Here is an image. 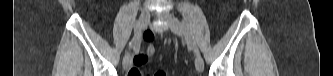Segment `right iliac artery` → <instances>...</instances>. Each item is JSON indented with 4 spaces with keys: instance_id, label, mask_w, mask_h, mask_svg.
I'll return each instance as SVG.
<instances>
[{
    "instance_id": "obj_1",
    "label": "right iliac artery",
    "mask_w": 333,
    "mask_h": 76,
    "mask_svg": "<svg viewBox=\"0 0 333 76\" xmlns=\"http://www.w3.org/2000/svg\"><path fill=\"white\" fill-rule=\"evenodd\" d=\"M140 36H141V32L138 30H135V36L132 39V41L129 43V48H137L139 46Z\"/></svg>"
}]
</instances>
